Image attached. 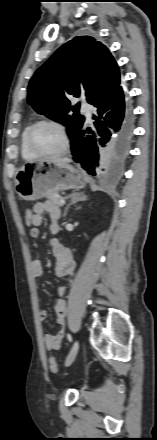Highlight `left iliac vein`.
Listing matches in <instances>:
<instances>
[{
  "mask_svg": "<svg viewBox=\"0 0 157 440\" xmlns=\"http://www.w3.org/2000/svg\"><path fill=\"white\" fill-rule=\"evenodd\" d=\"M78 350H79V342L75 341L68 357L66 358V361H65L66 366H69L72 364V362L74 361V359L77 355Z\"/></svg>",
  "mask_w": 157,
  "mask_h": 440,
  "instance_id": "left-iliac-vein-1",
  "label": "left iliac vein"
}]
</instances>
